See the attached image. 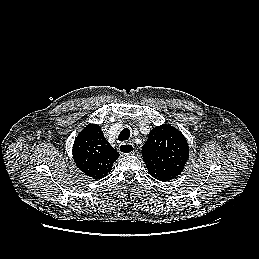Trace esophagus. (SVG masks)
Segmentation results:
<instances>
[{
    "mask_svg": "<svg viewBox=\"0 0 259 259\" xmlns=\"http://www.w3.org/2000/svg\"><path fill=\"white\" fill-rule=\"evenodd\" d=\"M118 151L122 155H130V154L134 153L135 148L132 143H121V144H119Z\"/></svg>",
    "mask_w": 259,
    "mask_h": 259,
    "instance_id": "esophagus-1",
    "label": "esophagus"
}]
</instances>
